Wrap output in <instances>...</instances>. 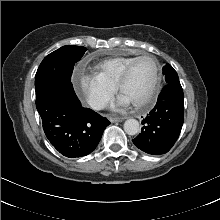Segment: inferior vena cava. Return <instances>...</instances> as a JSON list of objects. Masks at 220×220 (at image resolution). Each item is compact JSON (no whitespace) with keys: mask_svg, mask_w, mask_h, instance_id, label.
<instances>
[{"mask_svg":"<svg viewBox=\"0 0 220 220\" xmlns=\"http://www.w3.org/2000/svg\"><path fill=\"white\" fill-rule=\"evenodd\" d=\"M88 103L93 109L102 110L107 106L108 102L103 98H91Z\"/></svg>","mask_w":220,"mask_h":220,"instance_id":"obj_1","label":"inferior vena cava"}]
</instances>
